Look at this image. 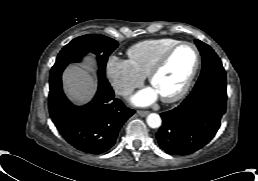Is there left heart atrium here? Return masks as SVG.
<instances>
[{
	"label": "left heart atrium",
	"instance_id": "1",
	"mask_svg": "<svg viewBox=\"0 0 258 181\" xmlns=\"http://www.w3.org/2000/svg\"><path fill=\"white\" fill-rule=\"evenodd\" d=\"M158 97V93L154 88H146L140 92H138L132 98V103L137 106H147L154 102Z\"/></svg>",
	"mask_w": 258,
	"mask_h": 181
}]
</instances>
